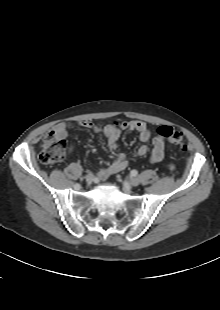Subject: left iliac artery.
<instances>
[{"label":"left iliac artery","instance_id":"left-iliac-artery-1","mask_svg":"<svg viewBox=\"0 0 220 310\" xmlns=\"http://www.w3.org/2000/svg\"><path fill=\"white\" fill-rule=\"evenodd\" d=\"M137 174H138L137 170H132L131 171V176L135 177V176H137Z\"/></svg>","mask_w":220,"mask_h":310}]
</instances>
